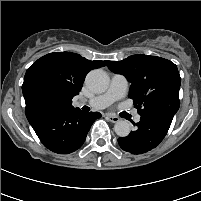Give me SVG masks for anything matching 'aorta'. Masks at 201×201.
Masks as SVG:
<instances>
[{
  "instance_id": "1",
  "label": "aorta",
  "mask_w": 201,
  "mask_h": 201,
  "mask_svg": "<svg viewBox=\"0 0 201 201\" xmlns=\"http://www.w3.org/2000/svg\"><path fill=\"white\" fill-rule=\"evenodd\" d=\"M86 84L90 90L95 93H103L109 85V78L106 72L100 69L92 70L86 77ZM115 133L120 137H126L130 134L131 127L128 121L120 120L114 125Z\"/></svg>"
}]
</instances>
